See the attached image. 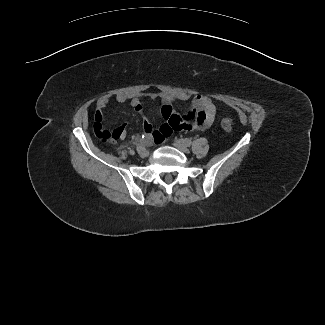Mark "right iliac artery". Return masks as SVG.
<instances>
[{
    "mask_svg": "<svg viewBox=\"0 0 325 325\" xmlns=\"http://www.w3.org/2000/svg\"><path fill=\"white\" fill-rule=\"evenodd\" d=\"M136 149H137V151L139 152V151L143 150V149H144V147H143V146H141V145H137Z\"/></svg>",
    "mask_w": 325,
    "mask_h": 325,
    "instance_id": "82829eb1",
    "label": "right iliac artery"
}]
</instances>
